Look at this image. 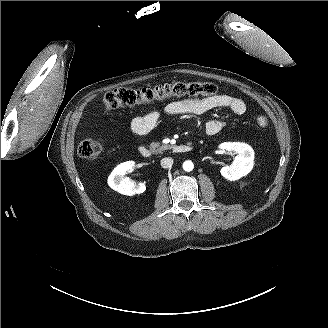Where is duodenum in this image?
<instances>
[{"instance_id": "duodenum-1", "label": "duodenum", "mask_w": 328, "mask_h": 328, "mask_svg": "<svg viewBox=\"0 0 328 328\" xmlns=\"http://www.w3.org/2000/svg\"><path fill=\"white\" fill-rule=\"evenodd\" d=\"M192 150V147L186 144H180L172 147L171 151L176 154L188 153ZM139 154L144 158H151L154 155V152L147 146H140Z\"/></svg>"}]
</instances>
